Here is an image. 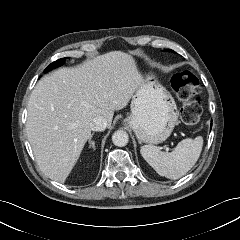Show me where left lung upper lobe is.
<instances>
[{"label":"left lung upper lobe","instance_id":"1","mask_svg":"<svg viewBox=\"0 0 240 240\" xmlns=\"http://www.w3.org/2000/svg\"><path fill=\"white\" fill-rule=\"evenodd\" d=\"M166 51L174 52L173 50H170V49H168V50H166Z\"/></svg>","mask_w":240,"mask_h":240}]
</instances>
